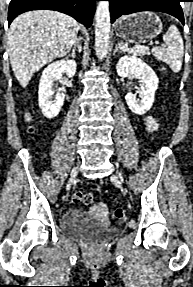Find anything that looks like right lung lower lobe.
Segmentation results:
<instances>
[{"instance_id": "98d812e1", "label": "right lung lower lobe", "mask_w": 193, "mask_h": 287, "mask_svg": "<svg viewBox=\"0 0 193 287\" xmlns=\"http://www.w3.org/2000/svg\"><path fill=\"white\" fill-rule=\"evenodd\" d=\"M98 0H11L8 10L9 24L26 11L48 9L68 14L90 27Z\"/></svg>"}]
</instances>
